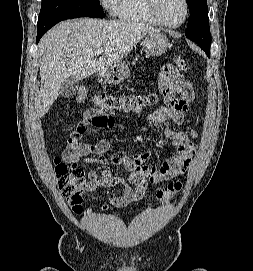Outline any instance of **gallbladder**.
Wrapping results in <instances>:
<instances>
[{"label": "gallbladder", "instance_id": "obj_1", "mask_svg": "<svg viewBox=\"0 0 253 271\" xmlns=\"http://www.w3.org/2000/svg\"><path fill=\"white\" fill-rule=\"evenodd\" d=\"M77 90L78 81L70 78L63 83V87L60 90V95L62 98H70L76 94Z\"/></svg>", "mask_w": 253, "mask_h": 271}]
</instances>
